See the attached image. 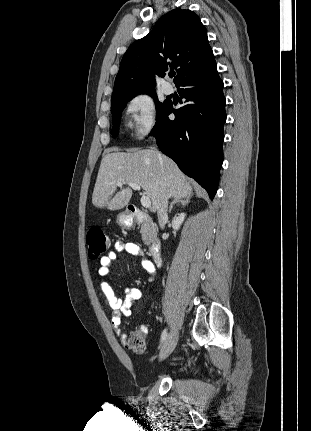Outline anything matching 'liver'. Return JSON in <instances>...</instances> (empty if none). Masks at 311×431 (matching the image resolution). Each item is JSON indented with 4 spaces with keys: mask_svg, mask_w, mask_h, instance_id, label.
Returning a JSON list of instances; mask_svg holds the SVG:
<instances>
[{
    "mask_svg": "<svg viewBox=\"0 0 311 431\" xmlns=\"http://www.w3.org/2000/svg\"><path fill=\"white\" fill-rule=\"evenodd\" d=\"M117 182L139 184L152 202V212H157L159 196L164 190L162 182L166 184L168 198H190L193 194V186L177 164L163 154L160 160L154 150H115L113 154H106L102 158L92 194L95 208L115 212L128 206L133 192L128 186H121L120 192H117Z\"/></svg>",
    "mask_w": 311,
    "mask_h": 431,
    "instance_id": "1",
    "label": "liver"
}]
</instances>
